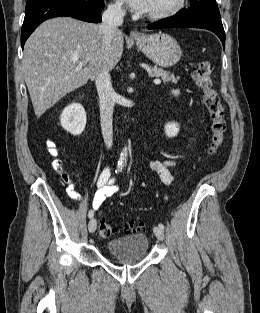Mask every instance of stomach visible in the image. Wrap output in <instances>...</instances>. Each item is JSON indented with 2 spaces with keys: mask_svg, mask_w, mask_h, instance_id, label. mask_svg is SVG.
Wrapping results in <instances>:
<instances>
[{
  "mask_svg": "<svg viewBox=\"0 0 260 313\" xmlns=\"http://www.w3.org/2000/svg\"><path fill=\"white\" fill-rule=\"evenodd\" d=\"M136 45L150 60L163 68L175 65L182 55L178 42L163 32L142 35L136 39Z\"/></svg>",
  "mask_w": 260,
  "mask_h": 313,
  "instance_id": "0dacf381",
  "label": "stomach"
}]
</instances>
